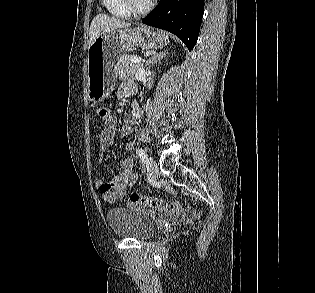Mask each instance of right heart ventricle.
I'll return each instance as SVG.
<instances>
[{"label": "right heart ventricle", "instance_id": "right-heart-ventricle-1", "mask_svg": "<svg viewBox=\"0 0 315 293\" xmlns=\"http://www.w3.org/2000/svg\"><path fill=\"white\" fill-rule=\"evenodd\" d=\"M106 12L117 19H127L131 13L126 10L121 0H101Z\"/></svg>", "mask_w": 315, "mask_h": 293}]
</instances>
